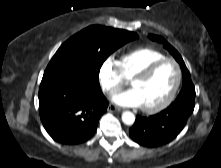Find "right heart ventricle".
<instances>
[{"label": "right heart ventricle", "instance_id": "obj_1", "mask_svg": "<svg viewBox=\"0 0 221 168\" xmlns=\"http://www.w3.org/2000/svg\"><path fill=\"white\" fill-rule=\"evenodd\" d=\"M165 55L152 48H138L123 54L119 60L125 78L132 79L152 62L164 58Z\"/></svg>", "mask_w": 221, "mask_h": 168}]
</instances>
